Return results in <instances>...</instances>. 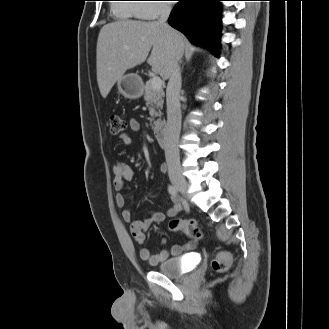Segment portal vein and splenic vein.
<instances>
[{"label":"portal vein and splenic vein","mask_w":329,"mask_h":329,"mask_svg":"<svg viewBox=\"0 0 329 329\" xmlns=\"http://www.w3.org/2000/svg\"><path fill=\"white\" fill-rule=\"evenodd\" d=\"M151 81V86L153 89L157 90V89H161L162 87V80L160 77L158 76H154L152 77Z\"/></svg>","instance_id":"18ae733b"}]
</instances>
